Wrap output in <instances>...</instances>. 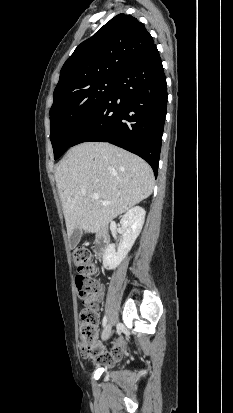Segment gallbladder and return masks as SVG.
I'll return each mask as SVG.
<instances>
[{
	"label": "gallbladder",
	"mask_w": 233,
	"mask_h": 413,
	"mask_svg": "<svg viewBox=\"0 0 233 413\" xmlns=\"http://www.w3.org/2000/svg\"><path fill=\"white\" fill-rule=\"evenodd\" d=\"M81 236H82V232L78 228H76L71 234L70 239H69V245L72 249L78 245L81 239Z\"/></svg>",
	"instance_id": "1"
}]
</instances>
